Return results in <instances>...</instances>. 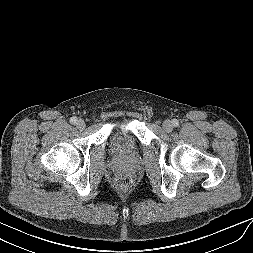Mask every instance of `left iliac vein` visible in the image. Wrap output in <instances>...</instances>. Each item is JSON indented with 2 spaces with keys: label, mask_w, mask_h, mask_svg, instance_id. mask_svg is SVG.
<instances>
[{
  "label": "left iliac vein",
  "mask_w": 253,
  "mask_h": 253,
  "mask_svg": "<svg viewBox=\"0 0 253 253\" xmlns=\"http://www.w3.org/2000/svg\"><path fill=\"white\" fill-rule=\"evenodd\" d=\"M162 127L165 132H171L173 129V125L170 120H165L162 124Z\"/></svg>",
  "instance_id": "obj_1"
}]
</instances>
